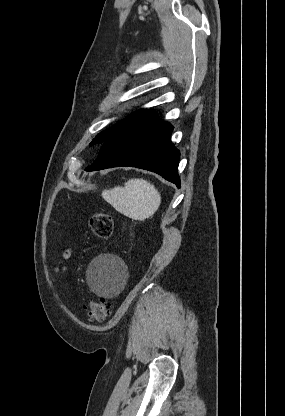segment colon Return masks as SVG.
I'll use <instances>...</instances> for the list:
<instances>
[{"label":"colon","instance_id":"obj_1","mask_svg":"<svg viewBox=\"0 0 285 416\" xmlns=\"http://www.w3.org/2000/svg\"><path fill=\"white\" fill-rule=\"evenodd\" d=\"M89 227L99 239H108L113 234V220L107 213H96L89 218ZM90 317L97 321H105L111 314V305L104 299L96 297L89 302Z\"/></svg>","mask_w":285,"mask_h":416}]
</instances>
